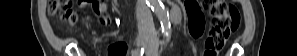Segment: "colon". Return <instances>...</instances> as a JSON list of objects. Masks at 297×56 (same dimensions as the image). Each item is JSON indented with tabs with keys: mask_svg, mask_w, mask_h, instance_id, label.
Listing matches in <instances>:
<instances>
[{
	"mask_svg": "<svg viewBox=\"0 0 297 56\" xmlns=\"http://www.w3.org/2000/svg\"><path fill=\"white\" fill-rule=\"evenodd\" d=\"M206 6L212 18L209 35L205 41L204 56H217L229 36L236 32L240 24V13L235 5L225 0H206ZM81 4H89L92 12L100 17L105 10L101 1L80 0ZM49 13L67 20L70 24L78 21V15L72 8V1L52 0L49 2ZM193 37V36H192Z\"/></svg>",
	"mask_w": 297,
	"mask_h": 56,
	"instance_id": "5ec220e1",
	"label": "colon"
}]
</instances>
